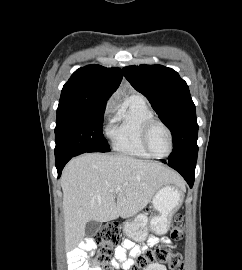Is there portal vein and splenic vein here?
<instances>
[{
	"label": "portal vein and splenic vein",
	"mask_w": 242,
	"mask_h": 270,
	"mask_svg": "<svg viewBox=\"0 0 242 270\" xmlns=\"http://www.w3.org/2000/svg\"><path fill=\"white\" fill-rule=\"evenodd\" d=\"M121 188H122V186L121 185H118V187L115 190H113V191L116 192V193H118L119 191H121Z\"/></svg>",
	"instance_id": "18ae733b"
}]
</instances>
